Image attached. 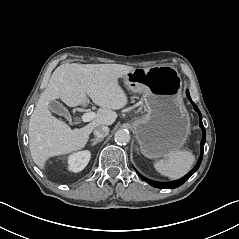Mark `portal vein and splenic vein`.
<instances>
[{"label":"portal vein and splenic vein","instance_id":"1","mask_svg":"<svg viewBox=\"0 0 239 239\" xmlns=\"http://www.w3.org/2000/svg\"><path fill=\"white\" fill-rule=\"evenodd\" d=\"M93 118H94V113L92 112H86L81 117L83 123H87L91 121Z\"/></svg>","mask_w":239,"mask_h":239}]
</instances>
